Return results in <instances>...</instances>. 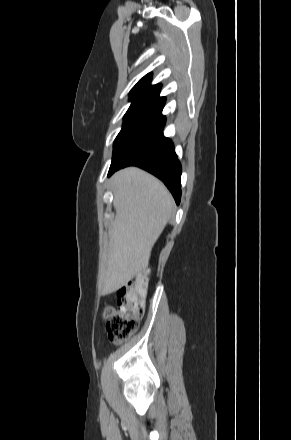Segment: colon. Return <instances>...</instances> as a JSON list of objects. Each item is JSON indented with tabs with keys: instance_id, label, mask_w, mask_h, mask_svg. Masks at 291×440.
<instances>
[{
	"instance_id": "1",
	"label": "colon",
	"mask_w": 291,
	"mask_h": 440,
	"mask_svg": "<svg viewBox=\"0 0 291 440\" xmlns=\"http://www.w3.org/2000/svg\"><path fill=\"white\" fill-rule=\"evenodd\" d=\"M148 277L146 273L117 291V307H106L103 311L104 327L114 342H124L138 328L144 315L143 300L146 295Z\"/></svg>"
}]
</instances>
